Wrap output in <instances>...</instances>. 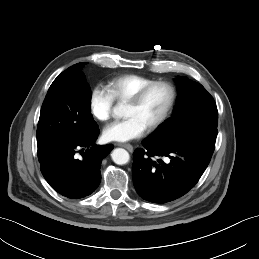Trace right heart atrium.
<instances>
[{"label":"right heart atrium","instance_id":"1","mask_svg":"<svg viewBox=\"0 0 259 259\" xmlns=\"http://www.w3.org/2000/svg\"><path fill=\"white\" fill-rule=\"evenodd\" d=\"M114 100L106 87L101 84L94 86L90 95L92 115L99 121L109 120L113 113Z\"/></svg>","mask_w":259,"mask_h":259}]
</instances>
